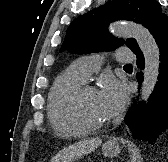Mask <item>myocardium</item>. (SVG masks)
<instances>
[{"mask_svg": "<svg viewBox=\"0 0 168 162\" xmlns=\"http://www.w3.org/2000/svg\"><path fill=\"white\" fill-rule=\"evenodd\" d=\"M91 91L97 92V89L93 86L83 84L74 91L68 102V110L71 117L86 131L99 130L108 125L107 122L93 123L85 117L82 109V101L84 96Z\"/></svg>", "mask_w": 168, "mask_h": 162, "instance_id": "1", "label": "myocardium"}]
</instances>
